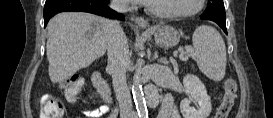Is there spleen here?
I'll return each instance as SVG.
<instances>
[{"label":"spleen","instance_id":"1","mask_svg":"<svg viewBox=\"0 0 273 118\" xmlns=\"http://www.w3.org/2000/svg\"><path fill=\"white\" fill-rule=\"evenodd\" d=\"M192 41L201 72L211 80L221 81L225 76L227 59L225 43L219 32L202 25L193 33Z\"/></svg>","mask_w":273,"mask_h":118}]
</instances>
